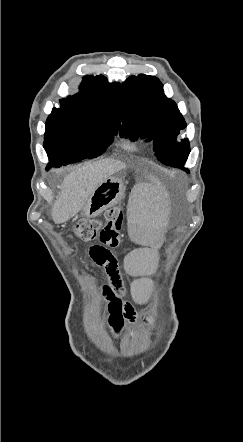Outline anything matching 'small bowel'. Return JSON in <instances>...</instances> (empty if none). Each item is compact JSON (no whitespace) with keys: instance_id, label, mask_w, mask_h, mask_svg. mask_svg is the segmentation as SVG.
I'll return each instance as SVG.
<instances>
[{"instance_id":"obj_1","label":"small bowel","mask_w":243,"mask_h":442,"mask_svg":"<svg viewBox=\"0 0 243 442\" xmlns=\"http://www.w3.org/2000/svg\"><path fill=\"white\" fill-rule=\"evenodd\" d=\"M93 261L103 267L109 277V283L103 286L102 293L108 301L110 326L114 333L119 335L122 331L124 320L134 322L136 313L128 303H123L120 299L124 295L125 290L121 281L118 260L114 257L111 262L105 265L95 259ZM142 321L149 323L151 321L150 316H144Z\"/></svg>"}]
</instances>
